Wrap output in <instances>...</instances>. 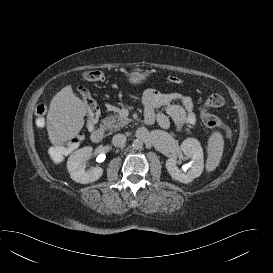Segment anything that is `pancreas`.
Here are the masks:
<instances>
[{"mask_svg": "<svg viewBox=\"0 0 273 273\" xmlns=\"http://www.w3.org/2000/svg\"><path fill=\"white\" fill-rule=\"evenodd\" d=\"M102 122L105 128L108 129L110 132H117L129 122H131V120L129 118L124 119L119 115L114 114L107 116L105 119L102 120Z\"/></svg>", "mask_w": 273, "mask_h": 273, "instance_id": "obj_1", "label": "pancreas"}]
</instances>
